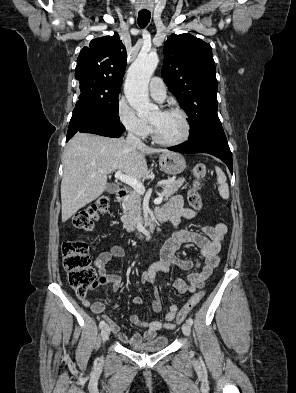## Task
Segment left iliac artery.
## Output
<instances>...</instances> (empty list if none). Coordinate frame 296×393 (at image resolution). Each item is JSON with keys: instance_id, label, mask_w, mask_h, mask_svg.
Listing matches in <instances>:
<instances>
[{"instance_id": "obj_1", "label": "left iliac artery", "mask_w": 296, "mask_h": 393, "mask_svg": "<svg viewBox=\"0 0 296 393\" xmlns=\"http://www.w3.org/2000/svg\"><path fill=\"white\" fill-rule=\"evenodd\" d=\"M187 322H188L190 325H192V324H193V319H192V318H189V319L187 320Z\"/></svg>"}]
</instances>
